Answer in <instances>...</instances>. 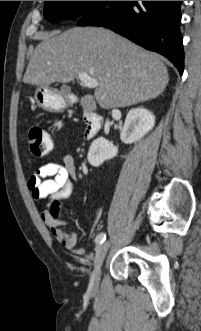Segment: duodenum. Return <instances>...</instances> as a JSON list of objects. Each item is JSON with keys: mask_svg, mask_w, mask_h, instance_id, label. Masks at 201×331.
<instances>
[{"mask_svg": "<svg viewBox=\"0 0 201 331\" xmlns=\"http://www.w3.org/2000/svg\"><path fill=\"white\" fill-rule=\"evenodd\" d=\"M83 120L86 125L84 130V138L89 141L100 131L103 124V117L90 110H84Z\"/></svg>", "mask_w": 201, "mask_h": 331, "instance_id": "1", "label": "duodenum"}]
</instances>
